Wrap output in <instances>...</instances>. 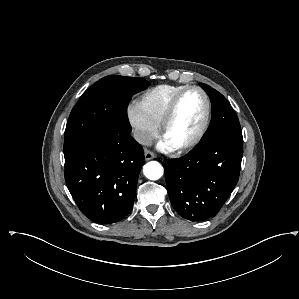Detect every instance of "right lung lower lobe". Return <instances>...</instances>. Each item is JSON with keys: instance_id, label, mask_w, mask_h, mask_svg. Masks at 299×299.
I'll list each match as a JSON object with an SVG mask.
<instances>
[{"instance_id": "1", "label": "right lung lower lobe", "mask_w": 299, "mask_h": 299, "mask_svg": "<svg viewBox=\"0 0 299 299\" xmlns=\"http://www.w3.org/2000/svg\"><path fill=\"white\" fill-rule=\"evenodd\" d=\"M142 146L119 131L103 135L65 159V181L81 212L101 224L121 220L133 207Z\"/></svg>"}]
</instances>
